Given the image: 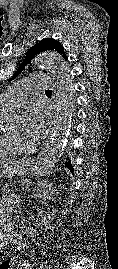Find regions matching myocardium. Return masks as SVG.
I'll use <instances>...</instances> for the list:
<instances>
[{"label": "myocardium", "mask_w": 118, "mask_h": 269, "mask_svg": "<svg viewBox=\"0 0 118 269\" xmlns=\"http://www.w3.org/2000/svg\"><path fill=\"white\" fill-rule=\"evenodd\" d=\"M16 137L20 140V136L19 135H17Z\"/></svg>", "instance_id": "1"}]
</instances>
